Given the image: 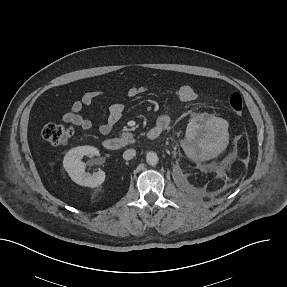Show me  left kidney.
Masks as SVG:
<instances>
[{"instance_id":"left-kidney-1","label":"left kidney","mask_w":287,"mask_h":287,"mask_svg":"<svg viewBox=\"0 0 287 287\" xmlns=\"http://www.w3.org/2000/svg\"><path fill=\"white\" fill-rule=\"evenodd\" d=\"M200 125L197 123L196 119H191L187 125L186 129V140L188 142L197 141L199 143L204 144V134L199 131ZM211 138V137H210ZM223 136L219 137L215 142L207 141L208 147L212 148L211 153L213 155H217L220 151L224 149V145L222 142ZM214 144V145H213Z\"/></svg>"}]
</instances>
